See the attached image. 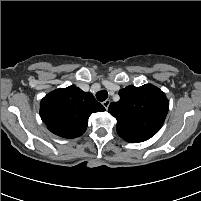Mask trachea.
I'll use <instances>...</instances> for the list:
<instances>
[{"label":"trachea","instance_id":"trachea-1","mask_svg":"<svg viewBox=\"0 0 201 201\" xmlns=\"http://www.w3.org/2000/svg\"><path fill=\"white\" fill-rule=\"evenodd\" d=\"M96 98L102 102L108 98V92L106 90H101L96 93Z\"/></svg>","mask_w":201,"mask_h":201}]
</instances>
